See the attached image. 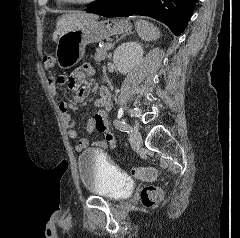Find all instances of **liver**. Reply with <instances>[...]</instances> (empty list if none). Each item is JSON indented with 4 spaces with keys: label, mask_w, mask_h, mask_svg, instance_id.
Wrapping results in <instances>:
<instances>
[{
    "label": "liver",
    "mask_w": 240,
    "mask_h": 238,
    "mask_svg": "<svg viewBox=\"0 0 240 238\" xmlns=\"http://www.w3.org/2000/svg\"><path fill=\"white\" fill-rule=\"evenodd\" d=\"M97 15L88 14L84 12H72L62 15L56 24V31L53 34V40H56L58 35H61L67 31L76 29L82 26L85 22L90 20H96Z\"/></svg>",
    "instance_id": "obj_1"
}]
</instances>
